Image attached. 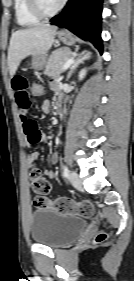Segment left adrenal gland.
<instances>
[{
	"instance_id": "left-adrenal-gland-1",
	"label": "left adrenal gland",
	"mask_w": 134,
	"mask_h": 281,
	"mask_svg": "<svg viewBox=\"0 0 134 281\" xmlns=\"http://www.w3.org/2000/svg\"><path fill=\"white\" fill-rule=\"evenodd\" d=\"M91 56V53L89 51H82L81 53L77 54L67 75L66 81H68L73 73V71L82 63H84L85 60L89 59Z\"/></svg>"
}]
</instances>
